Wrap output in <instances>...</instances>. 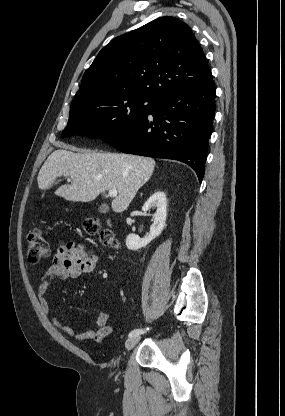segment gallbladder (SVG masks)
Instances as JSON below:
<instances>
[{
  "label": "gallbladder",
  "mask_w": 285,
  "mask_h": 416,
  "mask_svg": "<svg viewBox=\"0 0 285 416\" xmlns=\"http://www.w3.org/2000/svg\"><path fill=\"white\" fill-rule=\"evenodd\" d=\"M98 210L101 214H106V212H109V206H107V204H102Z\"/></svg>",
  "instance_id": "1"
}]
</instances>
